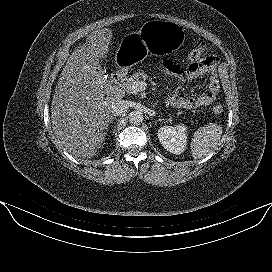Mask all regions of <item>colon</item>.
<instances>
[{
	"instance_id": "1",
	"label": "colon",
	"mask_w": 272,
	"mask_h": 272,
	"mask_svg": "<svg viewBox=\"0 0 272 272\" xmlns=\"http://www.w3.org/2000/svg\"><path fill=\"white\" fill-rule=\"evenodd\" d=\"M203 58V50L198 48L188 53L186 59L189 63H197ZM213 113L219 115L223 112L222 105H215L212 109Z\"/></svg>"
}]
</instances>
